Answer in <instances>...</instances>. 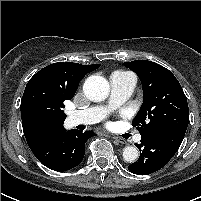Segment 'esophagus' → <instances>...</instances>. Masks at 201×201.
I'll return each mask as SVG.
<instances>
[{"instance_id": "1", "label": "esophagus", "mask_w": 201, "mask_h": 201, "mask_svg": "<svg viewBox=\"0 0 201 201\" xmlns=\"http://www.w3.org/2000/svg\"><path fill=\"white\" fill-rule=\"evenodd\" d=\"M116 142L121 143V144H126V140L120 137H112Z\"/></svg>"}]
</instances>
